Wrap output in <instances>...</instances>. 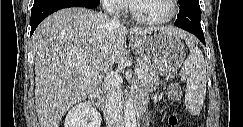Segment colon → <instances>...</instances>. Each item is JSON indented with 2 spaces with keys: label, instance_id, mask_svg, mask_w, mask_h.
<instances>
[{
  "label": "colon",
  "instance_id": "colon-1",
  "mask_svg": "<svg viewBox=\"0 0 243 127\" xmlns=\"http://www.w3.org/2000/svg\"><path fill=\"white\" fill-rule=\"evenodd\" d=\"M167 96L174 102H178L182 99V89L179 83L172 82L167 89ZM179 119L176 114H173L168 119V124L170 126H178Z\"/></svg>",
  "mask_w": 243,
  "mask_h": 127
}]
</instances>
